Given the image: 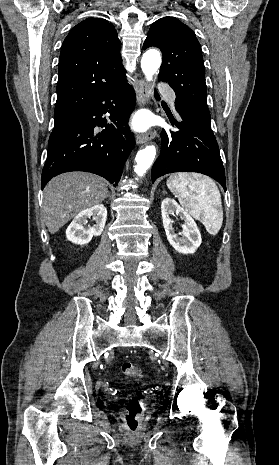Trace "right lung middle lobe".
Returning <instances> with one entry per match:
<instances>
[{"label":"right lung middle lobe","instance_id":"dd1d6c3e","mask_svg":"<svg viewBox=\"0 0 279 465\" xmlns=\"http://www.w3.org/2000/svg\"><path fill=\"white\" fill-rule=\"evenodd\" d=\"M63 127H64V124L54 126V129H53V131H52V133L50 135L48 144L51 143L54 140L56 135L62 130Z\"/></svg>","mask_w":279,"mask_h":465}]
</instances>
